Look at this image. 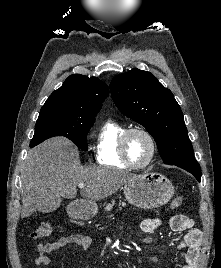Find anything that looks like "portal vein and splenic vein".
<instances>
[{
    "label": "portal vein and splenic vein",
    "mask_w": 221,
    "mask_h": 268,
    "mask_svg": "<svg viewBox=\"0 0 221 268\" xmlns=\"http://www.w3.org/2000/svg\"><path fill=\"white\" fill-rule=\"evenodd\" d=\"M78 187H79V188H84L85 185H84L83 183H80V184H78Z\"/></svg>",
    "instance_id": "portal-vein-and-splenic-vein-1"
}]
</instances>
